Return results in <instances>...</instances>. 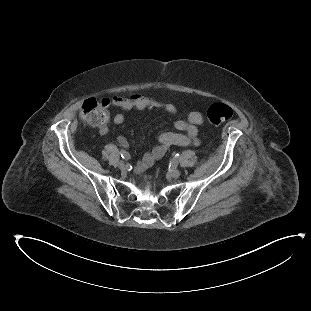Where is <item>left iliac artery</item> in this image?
<instances>
[{"label":"left iliac artery","instance_id":"1","mask_svg":"<svg viewBox=\"0 0 311 311\" xmlns=\"http://www.w3.org/2000/svg\"><path fill=\"white\" fill-rule=\"evenodd\" d=\"M178 160H179V153L175 154L173 160L170 162V165L172 167H176L178 164Z\"/></svg>","mask_w":311,"mask_h":311}]
</instances>
